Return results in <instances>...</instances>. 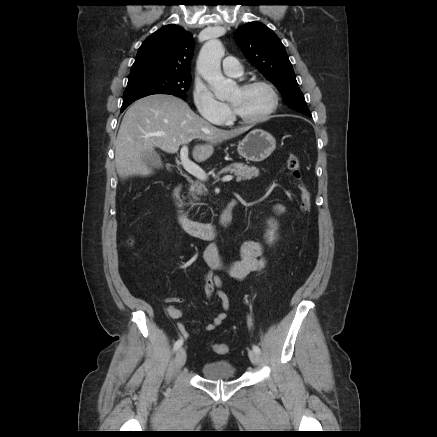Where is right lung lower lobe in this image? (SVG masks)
<instances>
[{
    "label": "right lung lower lobe",
    "mask_w": 437,
    "mask_h": 437,
    "mask_svg": "<svg viewBox=\"0 0 437 437\" xmlns=\"http://www.w3.org/2000/svg\"><path fill=\"white\" fill-rule=\"evenodd\" d=\"M125 109H121V111L123 112Z\"/></svg>",
    "instance_id": "right-lung-lower-lobe-1"
}]
</instances>
